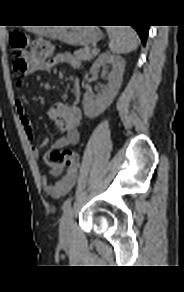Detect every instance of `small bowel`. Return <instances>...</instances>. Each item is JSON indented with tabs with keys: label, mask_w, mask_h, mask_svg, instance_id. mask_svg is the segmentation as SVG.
I'll return each instance as SVG.
<instances>
[{
	"label": "small bowel",
	"mask_w": 184,
	"mask_h": 292,
	"mask_svg": "<svg viewBox=\"0 0 184 292\" xmlns=\"http://www.w3.org/2000/svg\"><path fill=\"white\" fill-rule=\"evenodd\" d=\"M58 65H67L71 68H77L80 62L71 53L63 52L56 54L48 61L32 64L30 71L50 72ZM16 86L18 89L21 88V80L17 81ZM73 94L74 100L71 104L58 103L48 110L49 118L54 121L57 128L63 133L54 143L56 148L74 146L80 139L78 127L81 123V112L78 108L80 98V85L78 80L73 83ZM15 105L24 132L27 138L32 142L35 138L34 127L26 114L24 102L21 99H17ZM47 143V140H42L39 145L32 144L31 150L33 155L36 157L39 156L41 147L46 146ZM44 163L50 175L60 177L56 182H51L47 176H44L42 178V184L45 191L53 198L65 196L74 187L77 181L78 165L63 166L53 163L50 161L47 154L44 156Z\"/></svg>",
	"instance_id": "small-bowel-1"
}]
</instances>
